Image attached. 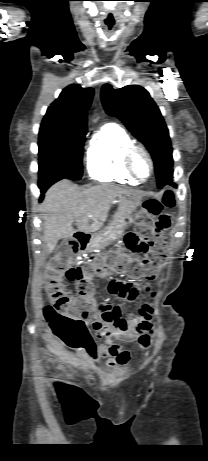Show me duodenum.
<instances>
[{"label": "duodenum", "mask_w": 208, "mask_h": 461, "mask_svg": "<svg viewBox=\"0 0 208 461\" xmlns=\"http://www.w3.org/2000/svg\"><path fill=\"white\" fill-rule=\"evenodd\" d=\"M82 237L87 241L90 239V235L88 233L83 234Z\"/></svg>", "instance_id": "obj_1"}]
</instances>
